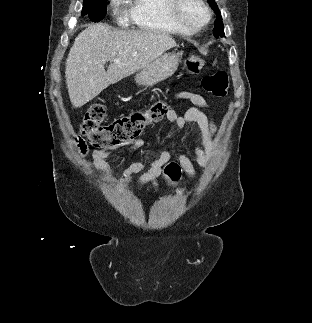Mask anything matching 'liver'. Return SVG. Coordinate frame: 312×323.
Wrapping results in <instances>:
<instances>
[{"instance_id":"6515ba94","label":"liver","mask_w":312,"mask_h":323,"mask_svg":"<svg viewBox=\"0 0 312 323\" xmlns=\"http://www.w3.org/2000/svg\"><path fill=\"white\" fill-rule=\"evenodd\" d=\"M175 46L169 34L111 30L108 24H90L75 38L66 60L65 78L73 108H81L110 84L147 68ZM106 62H111L107 72Z\"/></svg>"}]
</instances>
